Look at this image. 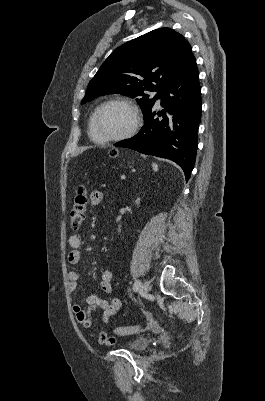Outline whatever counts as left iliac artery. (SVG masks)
<instances>
[{
	"mask_svg": "<svg viewBox=\"0 0 265 401\" xmlns=\"http://www.w3.org/2000/svg\"><path fill=\"white\" fill-rule=\"evenodd\" d=\"M140 288H141V282H140V280H137L134 283L133 289H134V291H138V290H140Z\"/></svg>",
	"mask_w": 265,
	"mask_h": 401,
	"instance_id": "1",
	"label": "left iliac artery"
}]
</instances>
